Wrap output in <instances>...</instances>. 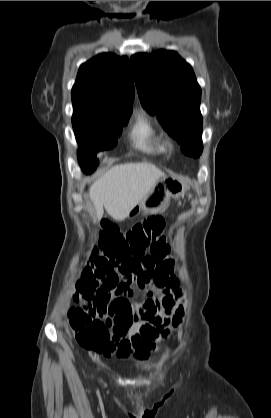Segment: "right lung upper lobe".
<instances>
[{
    "mask_svg": "<svg viewBox=\"0 0 271 418\" xmlns=\"http://www.w3.org/2000/svg\"><path fill=\"white\" fill-rule=\"evenodd\" d=\"M133 99V75L127 57L104 53L80 66L72 88L73 107L131 114Z\"/></svg>",
    "mask_w": 271,
    "mask_h": 418,
    "instance_id": "cb5924a9",
    "label": "right lung upper lobe"
}]
</instances>
